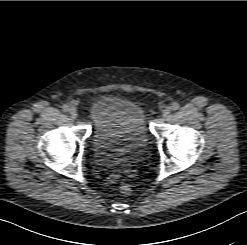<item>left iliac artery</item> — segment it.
Segmentation results:
<instances>
[{
    "label": "left iliac artery",
    "instance_id": "left-iliac-artery-1",
    "mask_svg": "<svg viewBox=\"0 0 247 245\" xmlns=\"http://www.w3.org/2000/svg\"><path fill=\"white\" fill-rule=\"evenodd\" d=\"M171 107H172L173 110H177V109H179L180 105H179V103L174 102V103H172Z\"/></svg>",
    "mask_w": 247,
    "mask_h": 245
}]
</instances>
